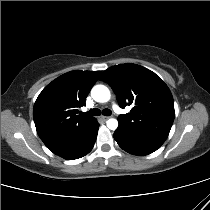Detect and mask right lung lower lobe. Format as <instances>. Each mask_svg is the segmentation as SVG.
<instances>
[{"instance_id":"1","label":"right lung lower lobe","mask_w":210,"mask_h":210,"mask_svg":"<svg viewBox=\"0 0 210 210\" xmlns=\"http://www.w3.org/2000/svg\"><path fill=\"white\" fill-rule=\"evenodd\" d=\"M99 124L96 121L94 126L87 133L78 136L64 148L55 152L56 155L68 160L81 158L88 154L96 141Z\"/></svg>"}]
</instances>
